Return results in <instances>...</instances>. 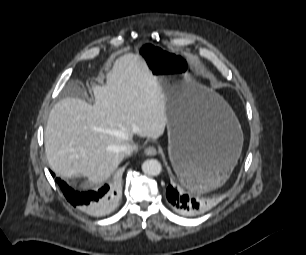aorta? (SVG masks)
<instances>
[{"instance_id":"obj_1","label":"aorta","mask_w":306,"mask_h":255,"mask_svg":"<svg viewBox=\"0 0 306 255\" xmlns=\"http://www.w3.org/2000/svg\"><path fill=\"white\" fill-rule=\"evenodd\" d=\"M142 171L147 175L158 176L162 171V166L156 159H147L142 164Z\"/></svg>"}]
</instances>
